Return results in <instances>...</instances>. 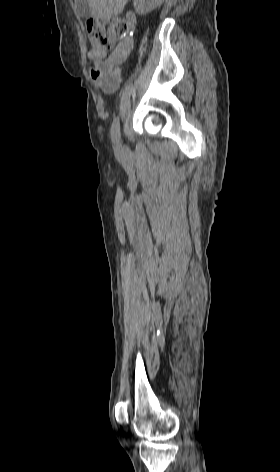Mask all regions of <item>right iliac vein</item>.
<instances>
[{"label":"right iliac vein","instance_id":"right-iliac-vein-1","mask_svg":"<svg viewBox=\"0 0 280 472\" xmlns=\"http://www.w3.org/2000/svg\"><path fill=\"white\" fill-rule=\"evenodd\" d=\"M128 153H129L128 148L125 147V146H123V147H122V154H123L124 156H127Z\"/></svg>","mask_w":280,"mask_h":472}]
</instances>
